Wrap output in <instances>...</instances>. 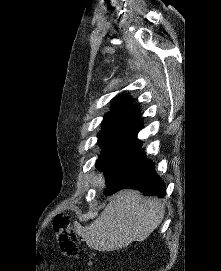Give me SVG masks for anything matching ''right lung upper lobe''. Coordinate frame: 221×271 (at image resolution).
<instances>
[{
    "instance_id": "obj_1",
    "label": "right lung upper lobe",
    "mask_w": 221,
    "mask_h": 271,
    "mask_svg": "<svg viewBox=\"0 0 221 271\" xmlns=\"http://www.w3.org/2000/svg\"><path fill=\"white\" fill-rule=\"evenodd\" d=\"M102 127V130L139 131L143 128L140 110L132 109V104L128 97H119L114 102L112 110L104 116Z\"/></svg>"
}]
</instances>
